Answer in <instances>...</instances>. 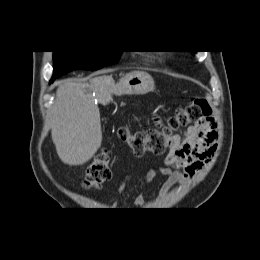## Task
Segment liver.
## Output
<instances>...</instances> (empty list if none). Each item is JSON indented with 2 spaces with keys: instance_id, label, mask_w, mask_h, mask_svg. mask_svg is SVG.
<instances>
[{
  "instance_id": "liver-1",
  "label": "liver",
  "mask_w": 260,
  "mask_h": 260,
  "mask_svg": "<svg viewBox=\"0 0 260 260\" xmlns=\"http://www.w3.org/2000/svg\"><path fill=\"white\" fill-rule=\"evenodd\" d=\"M140 73V72H133ZM115 83L102 75L89 83L62 81L52 107V140L62 162L70 166L88 162L102 143L100 113L92 94L99 100L111 99Z\"/></svg>"
}]
</instances>
